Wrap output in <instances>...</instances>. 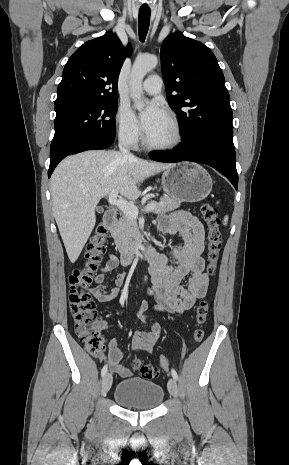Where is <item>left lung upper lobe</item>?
<instances>
[{
	"label": "left lung upper lobe",
	"mask_w": 289,
	"mask_h": 465,
	"mask_svg": "<svg viewBox=\"0 0 289 465\" xmlns=\"http://www.w3.org/2000/svg\"><path fill=\"white\" fill-rule=\"evenodd\" d=\"M160 57L168 103L181 121L182 142L201 133L232 140L230 97L212 51L175 32L164 40Z\"/></svg>",
	"instance_id": "left-lung-upper-lobe-1"
}]
</instances>
